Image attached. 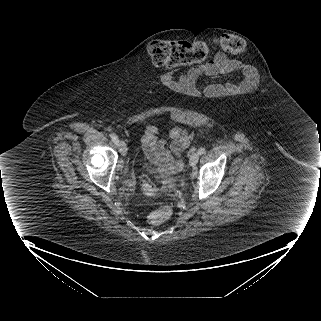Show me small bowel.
Segmentation results:
<instances>
[{
  "instance_id": "c3829d8e",
  "label": "small bowel",
  "mask_w": 321,
  "mask_h": 321,
  "mask_svg": "<svg viewBox=\"0 0 321 321\" xmlns=\"http://www.w3.org/2000/svg\"><path fill=\"white\" fill-rule=\"evenodd\" d=\"M236 68H239L237 61L219 52L208 63L196 65L187 72L166 73L164 79L172 89L187 91L198 99L204 98L205 95L220 98L223 95L230 96L242 91L251 92L259 86L261 77L256 73L255 68L249 65L242 67L244 79L235 78L232 81L206 83L199 87L196 85L202 76L229 72ZM141 143L144 154L154 160L162 174L168 176L182 168L180 154L189 146V135L181 127L172 128L166 135H161L155 125L148 124L141 135Z\"/></svg>"
}]
</instances>
